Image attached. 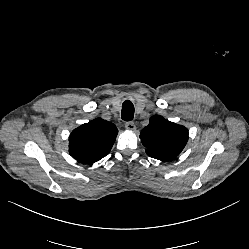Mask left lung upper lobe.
Returning a JSON list of instances; mask_svg holds the SVG:
<instances>
[{
    "mask_svg": "<svg viewBox=\"0 0 249 249\" xmlns=\"http://www.w3.org/2000/svg\"><path fill=\"white\" fill-rule=\"evenodd\" d=\"M146 153L152 158L169 161L177 157L188 141V130L164 119L160 115L150 118V123L140 133Z\"/></svg>",
    "mask_w": 249,
    "mask_h": 249,
    "instance_id": "5c2ea615",
    "label": "left lung upper lobe"
}]
</instances>
